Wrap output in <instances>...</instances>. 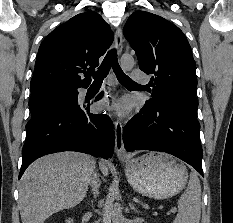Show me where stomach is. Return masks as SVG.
<instances>
[{
    "label": "stomach",
    "mask_w": 233,
    "mask_h": 223,
    "mask_svg": "<svg viewBox=\"0 0 233 223\" xmlns=\"http://www.w3.org/2000/svg\"><path fill=\"white\" fill-rule=\"evenodd\" d=\"M125 173L127 181L138 193L153 199L177 195L188 179V171L182 161L157 151H148L127 161Z\"/></svg>",
    "instance_id": "stomach-1"
}]
</instances>
